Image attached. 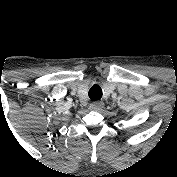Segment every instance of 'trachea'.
I'll use <instances>...</instances> for the list:
<instances>
[{
  "mask_svg": "<svg viewBox=\"0 0 177 177\" xmlns=\"http://www.w3.org/2000/svg\"><path fill=\"white\" fill-rule=\"evenodd\" d=\"M88 95L91 101L100 100V98L102 97V90L100 86H98L97 84H94L90 88Z\"/></svg>",
  "mask_w": 177,
  "mask_h": 177,
  "instance_id": "trachea-1",
  "label": "trachea"
}]
</instances>
